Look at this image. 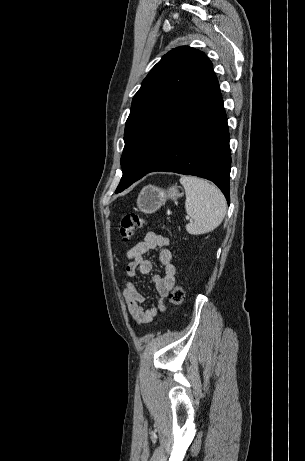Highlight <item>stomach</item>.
<instances>
[{"mask_svg":"<svg viewBox=\"0 0 305 461\" xmlns=\"http://www.w3.org/2000/svg\"><path fill=\"white\" fill-rule=\"evenodd\" d=\"M181 196L176 186H172L167 191L153 185L145 186L137 198L139 210L145 214L156 212L167 199L177 200Z\"/></svg>","mask_w":305,"mask_h":461,"instance_id":"0dacf381","label":"stomach"}]
</instances>
